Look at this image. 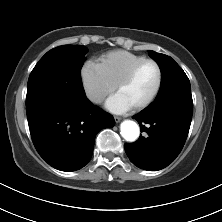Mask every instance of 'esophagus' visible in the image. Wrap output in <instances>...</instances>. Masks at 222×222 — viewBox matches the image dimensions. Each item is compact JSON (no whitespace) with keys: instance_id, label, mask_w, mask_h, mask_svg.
I'll use <instances>...</instances> for the list:
<instances>
[{"instance_id":"34e87169","label":"esophagus","mask_w":222,"mask_h":222,"mask_svg":"<svg viewBox=\"0 0 222 222\" xmlns=\"http://www.w3.org/2000/svg\"><path fill=\"white\" fill-rule=\"evenodd\" d=\"M114 120H115L116 123H118V122L121 121V117H119V116H115V117H114Z\"/></svg>"}]
</instances>
